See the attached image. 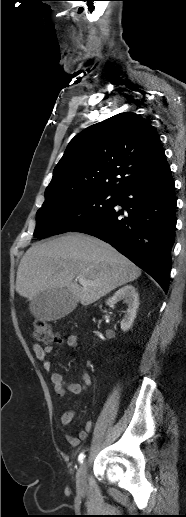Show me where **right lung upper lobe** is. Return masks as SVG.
Segmentation results:
<instances>
[{
  "label": "right lung upper lobe",
  "instance_id": "obj_1",
  "mask_svg": "<svg viewBox=\"0 0 186 517\" xmlns=\"http://www.w3.org/2000/svg\"><path fill=\"white\" fill-rule=\"evenodd\" d=\"M168 167L148 120L124 112L76 135L53 171L45 201L79 192L119 194Z\"/></svg>",
  "mask_w": 186,
  "mask_h": 517
}]
</instances>
